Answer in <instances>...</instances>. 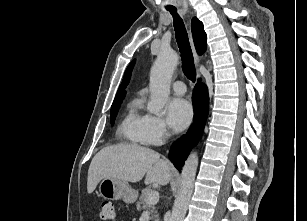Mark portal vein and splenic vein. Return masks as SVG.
<instances>
[{
  "instance_id": "portal-vein-and-splenic-vein-1",
  "label": "portal vein and splenic vein",
  "mask_w": 307,
  "mask_h": 221,
  "mask_svg": "<svg viewBox=\"0 0 307 221\" xmlns=\"http://www.w3.org/2000/svg\"><path fill=\"white\" fill-rule=\"evenodd\" d=\"M159 201V192L158 191H152L147 198V203L150 205H155Z\"/></svg>"
}]
</instances>
